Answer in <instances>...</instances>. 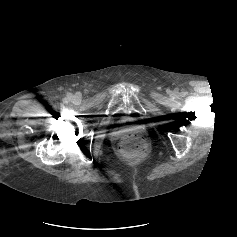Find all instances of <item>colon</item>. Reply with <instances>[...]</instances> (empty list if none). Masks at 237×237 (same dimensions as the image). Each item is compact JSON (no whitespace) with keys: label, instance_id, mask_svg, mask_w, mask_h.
Segmentation results:
<instances>
[{"label":"colon","instance_id":"5ec220e1","mask_svg":"<svg viewBox=\"0 0 237 237\" xmlns=\"http://www.w3.org/2000/svg\"><path fill=\"white\" fill-rule=\"evenodd\" d=\"M119 152L128 158L143 157L148 152V144L137 132H127L119 145Z\"/></svg>","mask_w":237,"mask_h":237}]
</instances>
